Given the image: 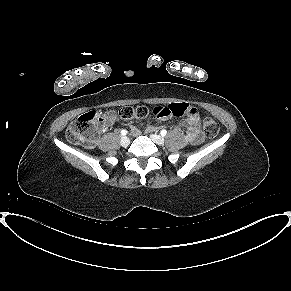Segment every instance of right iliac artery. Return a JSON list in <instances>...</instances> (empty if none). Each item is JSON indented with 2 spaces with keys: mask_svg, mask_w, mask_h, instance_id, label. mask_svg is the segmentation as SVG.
<instances>
[{
  "mask_svg": "<svg viewBox=\"0 0 291 291\" xmlns=\"http://www.w3.org/2000/svg\"><path fill=\"white\" fill-rule=\"evenodd\" d=\"M127 134V130L123 129L121 130V135H126Z\"/></svg>",
  "mask_w": 291,
  "mask_h": 291,
  "instance_id": "right-iliac-artery-1",
  "label": "right iliac artery"
}]
</instances>
